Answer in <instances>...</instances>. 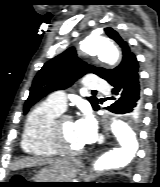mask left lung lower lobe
<instances>
[{
  "mask_svg": "<svg viewBox=\"0 0 160 187\" xmlns=\"http://www.w3.org/2000/svg\"><path fill=\"white\" fill-rule=\"evenodd\" d=\"M109 84L112 86V97L109 99L114 100V103L106 109L138 123L143 111V94L135 55L130 57L123 71Z\"/></svg>",
  "mask_w": 160,
  "mask_h": 187,
  "instance_id": "left-lung-lower-lobe-1",
  "label": "left lung lower lobe"
}]
</instances>
